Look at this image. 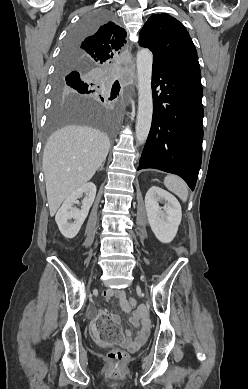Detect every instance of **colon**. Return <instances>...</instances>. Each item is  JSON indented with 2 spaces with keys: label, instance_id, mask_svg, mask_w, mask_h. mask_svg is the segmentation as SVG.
I'll use <instances>...</instances> for the list:
<instances>
[{
  "label": "colon",
  "instance_id": "5ec220e1",
  "mask_svg": "<svg viewBox=\"0 0 248 389\" xmlns=\"http://www.w3.org/2000/svg\"><path fill=\"white\" fill-rule=\"evenodd\" d=\"M136 301L134 298H130L127 301V307L129 309L134 308ZM95 324L90 326V333H95L97 337L101 339L100 346L104 344H115L116 340H123L124 334L121 328L120 322H113V319L108 315L107 311H98L94 317ZM127 354L121 349H113L108 355L109 369L112 372H118L124 365Z\"/></svg>",
  "mask_w": 248,
  "mask_h": 389
}]
</instances>
